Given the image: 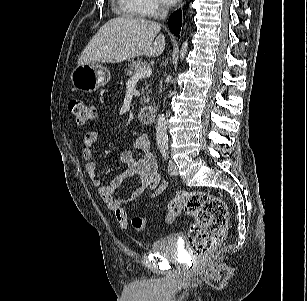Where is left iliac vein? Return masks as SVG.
Here are the masks:
<instances>
[{"mask_svg": "<svg viewBox=\"0 0 307 301\" xmlns=\"http://www.w3.org/2000/svg\"><path fill=\"white\" fill-rule=\"evenodd\" d=\"M168 171L171 175H178V168L173 160H169Z\"/></svg>", "mask_w": 307, "mask_h": 301, "instance_id": "4c4485c4", "label": "left iliac vein"}]
</instances>
